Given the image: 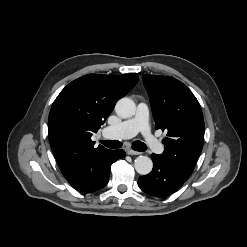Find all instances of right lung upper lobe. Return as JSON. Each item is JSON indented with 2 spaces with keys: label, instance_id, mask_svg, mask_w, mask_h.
<instances>
[{
  "label": "right lung upper lobe",
  "instance_id": "cb5924a9",
  "mask_svg": "<svg viewBox=\"0 0 247 247\" xmlns=\"http://www.w3.org/2000/svg\"><path fill=\"white\" fill-rule=\"evenodd\" d=\"M137 81L135 73L89 74L69 83L55 99L48 118L49 141L72 186L87 180L110 153L101 145L94 148L91 136Z\"/></svg>",
  "mask_w": 247,
  "mask_h": 247
}]
</instances>
